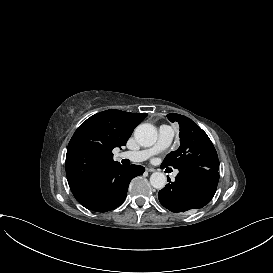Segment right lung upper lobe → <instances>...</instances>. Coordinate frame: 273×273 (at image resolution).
Wrapping results in <instances>:
<instances>
[{"label": "right lung upper lobe", "instance_id": "obj_1", "mask_svg": "<svg viewBox=\"0 0 273 273\" xmlns=\"http://www.w3.org/2000/svg\"><path fill=\"white\" fill-rule=\"evenodd\" d=\"M146 116L110 109L91 116L78 127L68 144L65 162L72 192L118 164L112 150L126 145Z\"/></svg>", "mask_w": 273, "mask_h": 273}]
</instances>
